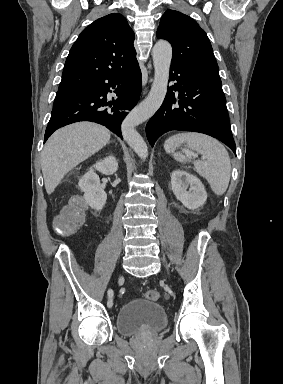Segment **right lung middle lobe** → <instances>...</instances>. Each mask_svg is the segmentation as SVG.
Segmentation results:
<instances>
[{"label": "right lung middle lobe", "instance_id": "1", "mask_svg": "<svg viewBox=\"0 0 283 384\" xmlns=\"http://www.w3.org/2000/svg\"><path fill=\"white\" fill-rule=\"evenodd\" d=\"M80 92L81 90L58 91L54 100V108L71 102L80 94Z\"/></svg>", "mask_w": 283, "mask_h": 384}]
</instances>
